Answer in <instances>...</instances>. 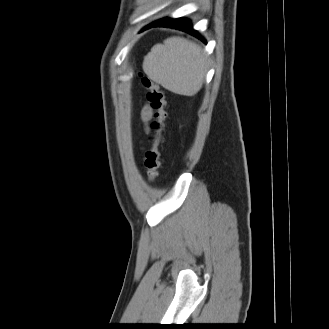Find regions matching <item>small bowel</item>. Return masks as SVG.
Segmentation results:
<instances>
[{
	"label": "small bowel",
	"mask_w": 329,
	"mask_h": 329,
	"mask_svg": "<svg viewBox=\"0 0 329 329\" xmlns=\"http://www.w3.org/2000/svg\"><path fill=\"white\" fill-rule=\"evenodd\" d=\"M152 118V110L149 106H144L142 111H141V119L142 121L147 125L148 122ZM146 131H148V128H146Z\"/></svg>",
	"instance_id": "obj_1"
}]
</instances>
